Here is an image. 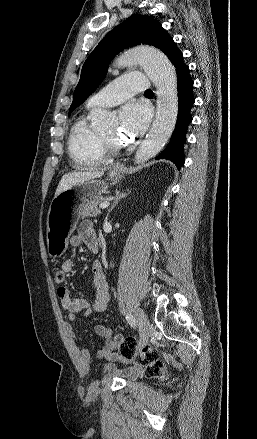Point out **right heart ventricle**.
<instances>
[{"mask_svg":"<svg viewBox=\"0 0 257 439\" xmlns=\"http://www.w3.org/2000/svg\"><path fill=\"white\" fill-rule=\"evenodd\" d=\"M68 152L76 167L94 168L103 162L106 148L102 136L90 127L85 118H79L70 131Z\"/></svg>","mask_w":257,"mask_h":439,"instance_id":"obj_1","label":"right heart ventricle"}]
</instances>
